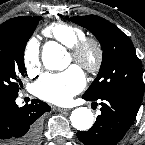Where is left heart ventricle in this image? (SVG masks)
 <instances>
[{
  "instance_id": "obj_1",
  "label": "left heart ventricle",
  "mask_w": 145,
  "mask_h": 145,
  "mask_svg": "<svg viewBox=\"0 0 145 145\" xmlns=\"http://www.w3.org/2000/svg\"><path fill=\"white\" fill-rule=\"evenodd\" d=\"M87 58H88L89 60H92V58H93L92 52H88V53H87ZM70 60H72V57H71V56H70Z\"/></svg>"
}]
</instances>
